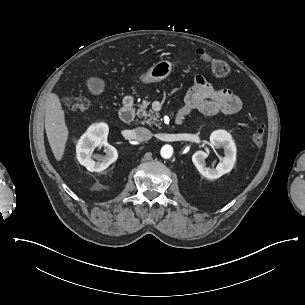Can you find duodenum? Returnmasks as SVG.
<instances>
[{"mask_svg":"<svg viewBox=\"0 0 305 305\" xmlns=\"http://www.w3.org/2000/svg\"><path fill=\"white\" fill-rule=\"evenodd\" d=\"M120 118L124 122H131L135 118L134 99L130 96L124 98L119 112ZM183 116L179 115L176 118V123L181 124Z\"/></svg>","mask_w":305,"mask_h":305,"instance_id":"1","label":"duodenum"}]
</instances>
